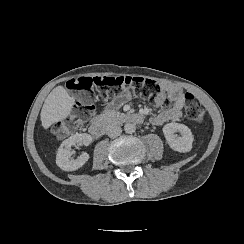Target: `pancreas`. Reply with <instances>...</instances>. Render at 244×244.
<instances>
[{"label":"pancreas","mask_w":244,"mask_h":244,"mask_svg":"<svg viewBox=\"0 0 244 244\" xmlns=\"http://www.w3.org/2000/svg\"><path fill=\"white\" fill-rule=\"evenodd\" d=\"M124 113L119 112V111H114V110H102L100 112V117L107 119V120H115V119H120L123 117Z\"/></svg>","instance_id":"1"}]
</instances>
